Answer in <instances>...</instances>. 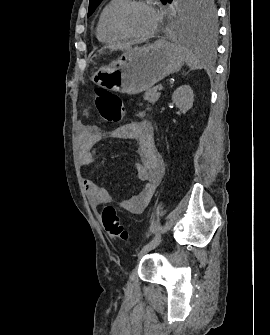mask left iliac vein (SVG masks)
Masks as SVG:
<instances>
[{
  "mask_svg": "<svg viewBox=\"0 0 270 335\" xmlns=\"http://www.w3.org/2000/svg\"><path fill=\"white\" fill-rule=\"evenodd\" d=\"M152 249H153V247L142 248L138 253V257L140 258V257L144 256L145 254L149 253Z\"/></svg>",
  "mask_w": 270,
  "mask_h": 335,
  "instance_id": "obj_1",
  "label": "left iliac vein"
}]
</instances>
